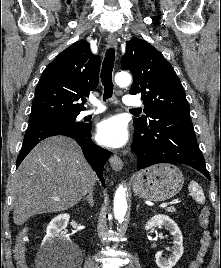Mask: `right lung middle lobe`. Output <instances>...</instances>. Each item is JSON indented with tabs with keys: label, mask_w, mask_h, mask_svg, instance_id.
<instances>
[{
	"label": "right lung middle lobe",
	"mask_w": 221,
	"mask_h": 268,
	"mask_svg": "<svg viewBox=\"0 0 221 268\" xmlns=\"http://www.w3.org/2000/svg\"><path fill=\"white\" fill-rule=\"evenodd\" d=\"M76 117H77V114L62 115V116L47 118L42 121H56V122L77 124L78 122H75ZM33 122H36V121H33L32 119H30L29 123H33Z\"/></svg>",
	"instance_id": "right-lung-middle-lobe-1"
}]
</instances>
